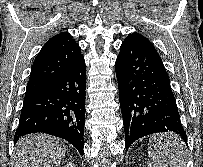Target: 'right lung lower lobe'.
<instances>
[{
	"mask_svg": "<svg viewBox=\"0 0 203 167\" xmlns=\"http://www.w3.org/2000/svg\"><path fill=\"white\" fill-rule=\"evenodd\" d=\"M86 68L84 57L45 88L26 93L14 136L36 132L63 138L83 153Z\"/></svg>",
	"mask_w": 203,
	"mask_h": 167,
	"instance_id": "98d812e1",
	"label": "right lung lower lobe"
}]
</instances>
